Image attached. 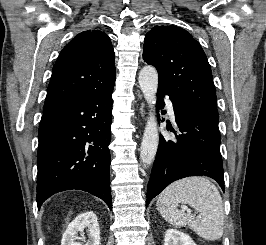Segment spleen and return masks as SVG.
I'll return each instance as SVG.
<instances>
[{
	"mask_svg": "<svg viewBox=\"0 0 266 245\" xmlns=\"http://www.w3.org/2000/svg\"><path fill=\"white\" fill-rule=\"evenodd\" d=\"M179 203L190 205L200 217L179 211ZM156 209L170 225H188L205 241H218L223 235V201L217 187L206 177H187L172 183L159 195Z\"/></svg>",
	"mask_w": 266,
	"mask_h": 245,
	"instance_id": "3e777b00",
	"label": "spleen"
}]
</instances>
